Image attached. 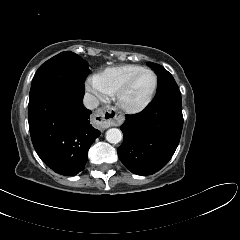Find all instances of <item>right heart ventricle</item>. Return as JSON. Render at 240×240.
I'll use <instances>...</instances> for the list:
<instances>
[{
  "mask_svg": "<svg viewBox=\"0 0 240 240\" xmlns=\"http://www.w3.org/2000/svg\"><path fill=\"white\" fill-rule=\"evenodd\" d=\"M142 69V66L134 64L114 66L106 68L96 77L106 94L113 95L132 75Z\"/></svg>",
  "mask_w": 240,
  "mask_h": 240,
  "instance_id": "obj_1",
  "label": "right heart ventricle"
}]
</instances>
